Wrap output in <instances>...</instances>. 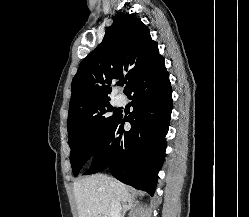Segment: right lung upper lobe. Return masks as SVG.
Listing matches in <instances>:
<instances>
[{"label":"right lung upper lobe","mask_w":249,"mask_h":217,"mask_svg":"<svg viewBox=\"0 0 249 217\" xmlns=\"http://www.w3.org/2000/svg\"><path fill=\"white\" fill-rule=\"evenodd\" d=\"M159 55L149 28L133 14H116L102 42L82 60L72 81L68 118L109 100L113 80L124 77L126 93Z\"/></svg>","instance_id":"cb5924a9"}]
</instances>
